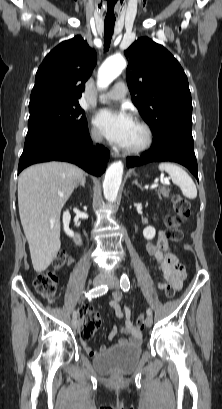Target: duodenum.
Returning a JSON list of instances; mask_svg holds the SVG:
<instances>
[{"label": "duodenum", "instance_id": "obj_1", "mask_svg": "<svg viewBox=\"0 0 222 409\" xmlns=\"http://www.w3.org/2000/svg\"><path fill=\"white\" fill-rule=\"evenodd\" d=\"M73 240H74V242L78 245V246H81L82 245V237H81V235L78 233V232H75L74 233V235H73Z\"/></svg>", "mask_w": 222, "mask_h": 409}]
</instances>
